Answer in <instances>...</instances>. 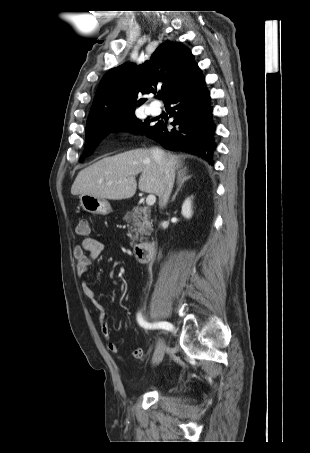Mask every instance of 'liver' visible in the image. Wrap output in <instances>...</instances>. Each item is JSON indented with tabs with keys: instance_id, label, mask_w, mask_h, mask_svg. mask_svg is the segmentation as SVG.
<instances>
[{
	"instance_id": "liver-1",
	"label": "liver",
	"mask_w": 310,
	"mask_h": 453,
	"mask_svg": "<svg viewBox=\"0 0 310 453\" xmlns=\"http://www.w3.org/2000/svg\"><path fill=\"white\" fill-rule=\"evenodd\" d=\"M166 156L174 170L181 168L177 156L170 153ZM139 173V190L159 196L164 173L149 149H135L106 157L84 168L78 173L71 194H88L110 200L128 199L136 193L135 176Z\"/></svg>"
}]
</instances>
